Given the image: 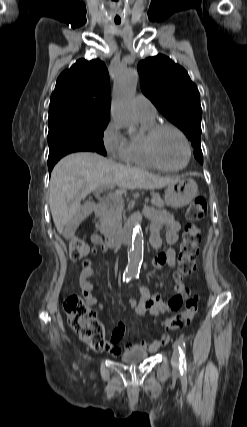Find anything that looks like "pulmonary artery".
<instances>
[{"instance_id":"1","label":"pulmonary artery","mask_w":247,"mask_h":427,"mask_svg":"<svg viewBox=\"0 0 247 427\" xmlns=\"http://www.w3.org/2000/svg\"><path fill=\"white\" fill-rule=\"evenodd\" d=\"M134 108L137 116L141 119H154L156 116L155 106L143 94H138L135 97Z\"/></svg>"}]
</instances>
